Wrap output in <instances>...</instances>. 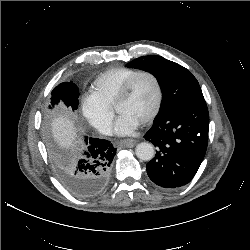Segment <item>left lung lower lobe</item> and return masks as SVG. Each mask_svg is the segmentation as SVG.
<instances>
[{"label":"left lung lower lobe","instance_id":"obj_1","mask_svg":"<svg viewBox=\"0 0 250 250\" xmlns=\"http://www.w3.org/2000/svg\"><path fill=\"white\" fill-rule=\"evenodd\" d=\"M209 113L205 100L156 118L144 136L157 148L147 174L157 185L178 188L195 176L207 149Z\"/></svg>","mask_w":250,"mask_h":250}]
</instances>
